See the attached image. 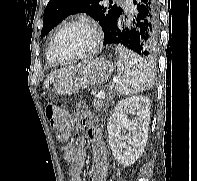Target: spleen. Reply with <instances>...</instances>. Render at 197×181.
Segmentation results:
<instances>
[{
  "instance_id": "obj_1",
  "label": "spleen",
  "mask_w": 197,
  "mask_h": 181,
  "mask_svg": "<svg viewBox=\"0 0 197 181\" xmlns=\"http://www.w3.org/2000/svg\"><path fill=\"white\" fill-rule=\"evenodd\" d=\"M117 62L118 80L116 91L120 95L143 92L154 84V73L146 61L119 45Z\"/></svg>"
}]
</instances>
